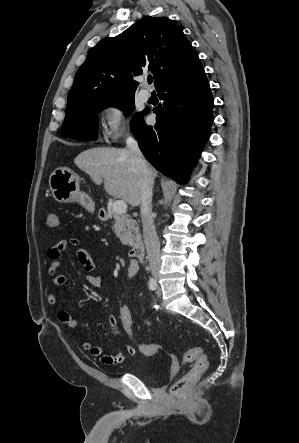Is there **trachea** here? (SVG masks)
I'll return each instance as SVG.
<instances>
[{
  "label": "trachea",
  "mask_w": 299,
  "mask_h": 443,
  "mask_svg": "<svg viewBox=\"0 0 299 443\" xmlns=\"http://www.w3.org/2000/svg\"><path fill=\"white\" fill-rule=\"evenodd\" d=\"M147 81H148L149 84H151L152 81H153L152 77H148Z\"/></svg>",
  "instance_id": "3493384b"
}]
</instances>
